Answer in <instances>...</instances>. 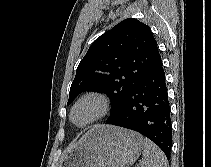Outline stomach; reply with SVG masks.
Wrapping results in <instances>:
<instances>
[{"instance_id": "0dacf381", "label": "stomach", "mask_w": 211, "mask_h": 167, "mask_svg": "<svg viewBox=\"0 0 211 167\" xmlns=\"http://www.w3.org/2000/svg\"><path fill=\"white\" fill-rule=\"evenodd\" d=\"M143 147V137L137 132L95 126L67 151L58 167H130Z\"/></svg>"}]
</instances>
